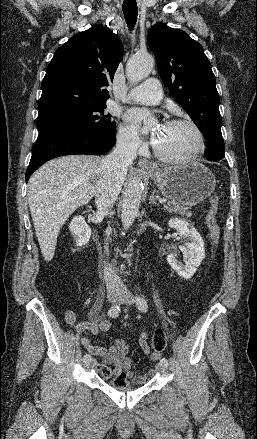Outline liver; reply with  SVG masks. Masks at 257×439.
<instances>
[{"instance_id": "liver-1", "label": "liver", "mask_w": 257, "mask_h": 439, "mask_svg": "<svg viewBox=\"0 0 257 439\" xmlns=\"http://www.w3.org/2000/svg\"><path fill=\"white\" fill-rule=\"evenodd\" d=\"M103 159L89 155L60 157L45 163L30 178L28 204L46 261L54 256L57 237L65 221L96 194Z\"/></svg>"}]
</instances>
